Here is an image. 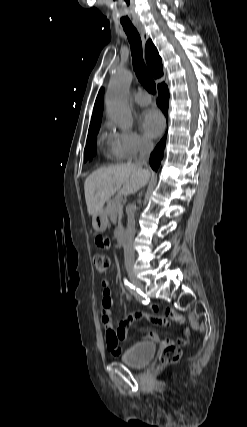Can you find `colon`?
<instances>
[{
    "instance_id": "colon-1",
    "label": "colon",
    "mask_w": 247,
    "mask_h": 427,
    "mask_svg": "<svg viewBox=\"0 0 247 427\" xmlns=\"http://www.w3.org/2000/svg\"><path fill=\"white\" fill-rule=\"evenodd\" d=\"M93 263L99 273H105L109 268L110 260L106 255L97 254L93 258ZM181 349L173 344L166 345L161 352L160 359L162 363H174L179 360Z\"/></svg>"
}]
</instances>
